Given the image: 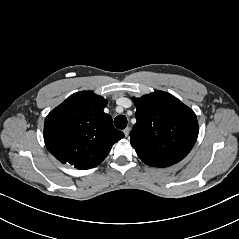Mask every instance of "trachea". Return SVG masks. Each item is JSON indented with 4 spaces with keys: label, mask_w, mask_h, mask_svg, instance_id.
Instances as JSON below:
<instances>
[{
    "label": "trachea",
    "mask_w": 239,
    "mask_h": 239,
    "mask_svg": "<svg viewBox=\"0 0 239 239\" xmlns=\"http://www.w3.org/2000/svg\"><path fill=\"white\" fill-rule=\"evenodd\" d=\"M114 125L118 129H124L127 126V118L124 115H118L114 119Z\"/></svg>",
    "instance_id": "trachea-1"
}]
</instances>
